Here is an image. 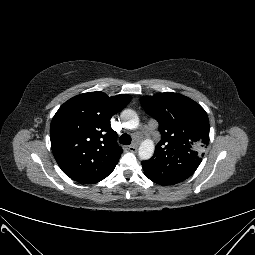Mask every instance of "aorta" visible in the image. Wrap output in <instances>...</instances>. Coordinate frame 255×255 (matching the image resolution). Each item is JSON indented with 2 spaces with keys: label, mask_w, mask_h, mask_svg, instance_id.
<instances>
[{
  "label": "aorta",
  "mask_w": 255,
  "mask_h": 255,
  "mask_svg": "<svg viewBox=\"0 0 255 255\" xmlns=\"http://www.w3.org/2000/svg\"><path fill=\"white\" fill-rule=\"evenodd\" d=\"M121 119L125 122L128 128L134 129L139 124V118L133 110H124L121 114ZM155 150L154 143L151 139L144 140L138 150L141 160H148L153 156Z\"/></svg>",
  "instance_id": "1"
}]
</instances>
